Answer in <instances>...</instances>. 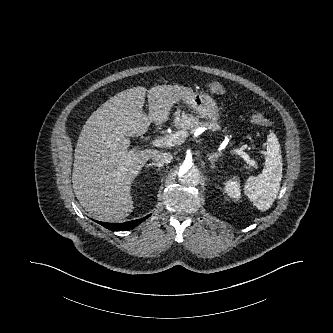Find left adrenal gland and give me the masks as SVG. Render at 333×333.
Listing matches in <instances>:
<instances>
[{"instance_id":"left-adrenal-gland-1","label":"left adrenal gland","mask_w":333,"mask_h":333,"mask_svg":"<svg viewBox=\"0 0 333 333\" xmlns=\"http://www.w3.org/2000/svg\"><path fill=\"white\" fill-rule=\"evenodd\" d=\"M208 156H209V160H210V162H211V167L212 168H215V161H216V158H217V154L215 153V154H208Z\"/></svg>"}]
</instances>
